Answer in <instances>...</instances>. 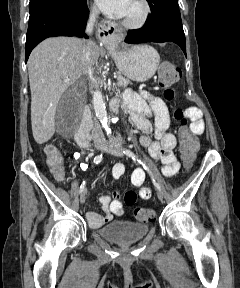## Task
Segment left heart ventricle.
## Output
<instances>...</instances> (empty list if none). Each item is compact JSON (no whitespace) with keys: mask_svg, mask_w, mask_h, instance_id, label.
Wrapping results in <instances>:
<instances>
[{"mask_svg":"<svg viewBox=\"0 0 240 288\" xmlns=\"http://www.w3.org/2000/svg\"><path fill=\"white\" fill-rule=\"evenodd\" d=\"M142 14V6L138 0H132L128 12L125 15L126 19L135 20Z\"/></svg>","mask_w":240,"mask_h":288,"instance_id":"obj_1","label":"left heart ventricle"}]
</instances>
